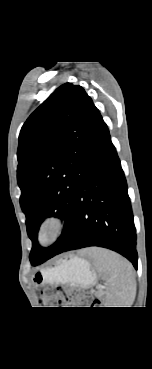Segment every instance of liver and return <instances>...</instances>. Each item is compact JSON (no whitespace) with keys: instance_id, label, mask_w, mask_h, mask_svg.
<instances>
[{"instance_id":"1","label":"liver","mask_w":152,"mask_h":369,"mask_svg":"<svg viewBox=\"0 0 152 369\" xmlns=\"http://www.w3.org/2000/svg\"><path fill=\"white\" fill-rule=\"evenodd\" d=\"M93 250L94 249H89V250H87V253L91 255L93 253Z\"/></svg>"}]
</instances>
